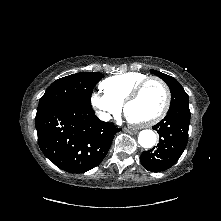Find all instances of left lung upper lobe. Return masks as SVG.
I'll list each match as a JSON object with an SVG mask.
<instances>
[{"label":"left lung upper lobe","mask_w":221,"mask_h":221,"mask_svg":"<svg viewBox=\"0 0 221 221\" xmlns=\"http://www.w3.org/2000/svg\"><path fill=\"white\" fill-rule=\"evenodd\" d=\"M153 74L160 77L166 82L171 91V103L170 108L175 106H187L189 105L188 95L184 91L180 83L172 76L161 73L157 70H151Z\"/></svg>","instance_id":"1"}]
</instances>
